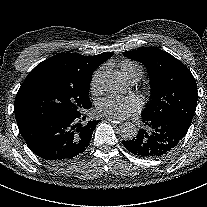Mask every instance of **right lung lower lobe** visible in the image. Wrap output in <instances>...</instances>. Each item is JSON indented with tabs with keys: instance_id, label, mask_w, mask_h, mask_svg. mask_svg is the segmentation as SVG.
Returning a JSON list of instances; mask_svg holds the SVG:
<instances>
[{
	"instance_id": "obj_1",
	"label": "right lung lower lobe",
	"mask_w": 207,
	"mask_h": 207,
	"mask_svg": "<svg viewBox=\"0 0 207 207\" xmlns=\"http://www.w3.org/2000/svg\"><path fill=\"white\" fill-rule=\"evenodd\" d=\"M76 117H56L19 125L27 146L41 159L64 164L81 156L89 145L98 121Z\"/></svg>"
}]
</instances>
